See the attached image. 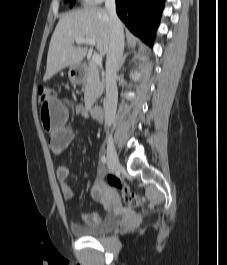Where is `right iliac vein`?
<instances>
[{
  "mask_svg": "<svg viewBox=\"0 0 227 265\" xmlns=\"http://www.w3.org/2000/svg\"><path fill=\"white\" fill-rule=\"evenodd\" d=\"M107 163L111 172H115L119 166L118 156L111 137L107 140Z\"/></svg>",
  "mask_w": 227,
  "mask_h": 265,
  "instance_id": "63e3f726",
  "label": "right iliac vein"
}]
</instances>
